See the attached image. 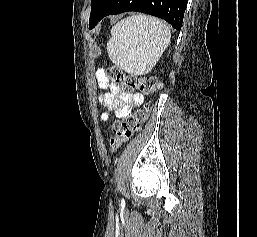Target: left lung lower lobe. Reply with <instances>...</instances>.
<instances>
[{"mask_svg": "<svg viewBox=\"0 0 257 237\" xmlns=\"http://www.w3.org/2000/svg\"><path fill=\"white\" fill-rule=\"evenodd\" d=\"M188 0H108L98 15L89 21L92 29L103 17L127 11H137L166 20L177 30L181 29Z\"/></svg>", "mask_w": 257, "mask_h": 237, "instance_id": "obj_1", "label": "left lung lower lobe"}]
</instances>
